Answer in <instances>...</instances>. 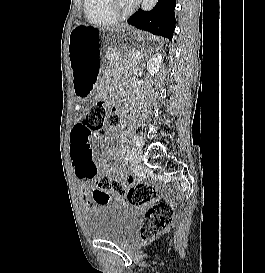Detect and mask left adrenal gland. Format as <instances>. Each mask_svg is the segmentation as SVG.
<instances>
[{
    "label": "left adrenal gland",
    "mask_w": 265,
    "mask_h": 273,
    "mask_svg": "<svg viewBox=\"0 0 265 273\" xmlns=\"http://www.w3.org/2000/svg\"><path fill=\"white\" fill-rule=\"evenodd\" d=\"M143 61H144V60H143V59H141L139 62L143 64Z\"/></svg>",
    "instance_id": "a2214340"
}]
</instances>
